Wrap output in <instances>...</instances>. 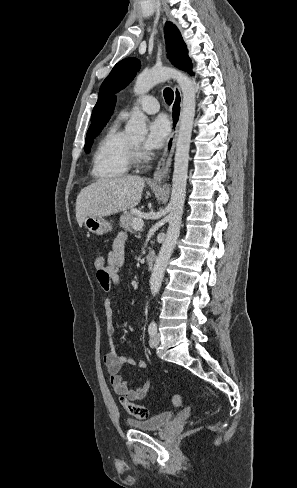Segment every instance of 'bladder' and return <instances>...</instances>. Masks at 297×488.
Segmentation results:
<instances>
[{
	"label": "bladder",
	"instance_id": "31cf9c89",
	"mask_svg": "<svg viewBox=\"0 0 297 488\" xmlns=\"http://www.w3.org/2000/svg\"><path fill=\"white\" fill-rule=\"evenodd\" d=\"M173 418V412L158 413L146 420L128 419V427L141 431H158L166 427Z\"/></svg>",
	"mask_w": 297,
	"mask_h": 488
}]
</instances>
